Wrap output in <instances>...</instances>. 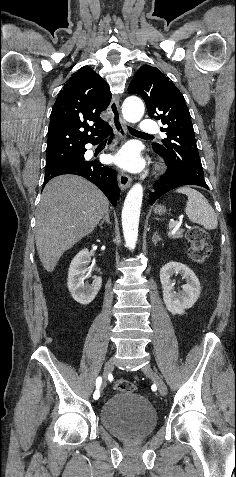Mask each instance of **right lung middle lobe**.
Wrapping results in <instances>:
<instances>
[{"label": "right lung middle lobe", "instance_id": "right-lung-middle-lobe-1", "mask_svg": "<svg viewBox=\"0 0 236 477\" xmlns=\"http://www.w3.org/2000/svg\"><path fill=\"white\" fill-rule=\"evenodd\" d=\"M80 160H83V156L80 153H78L74 156H71V157L63 160L59 165L64 164V163L77 162V161H80ZM47 167L48 166H46V168Z\"/></svg>", "mask_w": 236, "mask_h": 477}]
</instances>
